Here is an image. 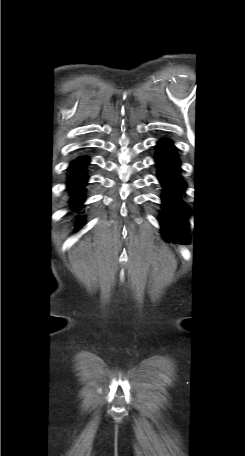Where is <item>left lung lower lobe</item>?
Returning <instances> with one entry per match:
<instances>
[{
	"mask_svg": "<svg viewBox=\"0 0 245 456\" xmlns=\"http://www.w3.org/2000/svg\"><path fill=\"white\" fill-rule=\"evenodd\" d=\"M156 148L158 179L164 188L161 232L167 240L187 242L188 210L180 202V196L185 190L180 176V160L171 141L162 139Z\"/></svg>",
	"mask_w": 245,
	"mask_h": 456,
	"instance_id": "left-lung-lower-lobe-1",
	"label": "left lung lower lobe"
}]
</instances>
